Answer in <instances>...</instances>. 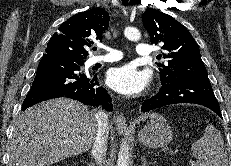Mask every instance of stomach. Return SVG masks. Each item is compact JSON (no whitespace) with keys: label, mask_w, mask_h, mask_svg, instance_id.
<instances>
[{"label":"stomach","mask_w":231,"mask_h":166,"mask_svg":"<svg viewBox=\"0 0 231 166\" xmlns=\"http://www.w3.org/2000/svg\"><path fill=\"white\" fill-rule=\"evenodd\" d=\"M151 120L140 130L138 140L145 147L162 148L172 140L173 131L166 119L158 114H154Z\"/></svg>","instance_id":"0dacf381"}]
</instances>
